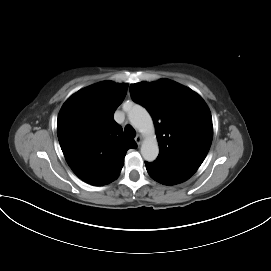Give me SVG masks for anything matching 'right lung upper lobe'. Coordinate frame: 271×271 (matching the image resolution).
<instances>
[{
    "mask_svg": "<svg viewBox=\"0 0 271 271\" xmlns=\"http://www.w3.org/2000/svg\"><path fill=\"white\" fill-rule=\"evenodd\" d=\"M127 87L112 81L88 86L73 94L59 112L57 134L66 161L81 180L91 185L114 181L126 151L137 147L113 119Z\"/></svg>",
    "mask_w": 271,
    "mask_h": 271,
    "instance_id": "cb5924a9",
    "label": "right lung upper lobe"
}]
</instances>
